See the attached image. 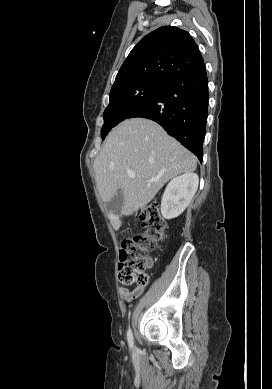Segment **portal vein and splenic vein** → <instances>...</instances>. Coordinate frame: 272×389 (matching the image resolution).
<instances>
[{
    "mask_svg": "<svg viewBox=\"0 0 272 389\" xmlns=\"http://www.w3.org/2000/svg\"><path fill=\"white\" fill-rule=\"evenodd\" d=\"M127 175L131 178H134L135 177V173L133 171H128L127 172ZM150 182H152L153 180H149Z\"/></svg>",
    "mask_w": 272,
    "mask_h": 389,
    "instance_id": "18ae733b",
    "label": "portal vein and splenic vein"
}]
</instances>
